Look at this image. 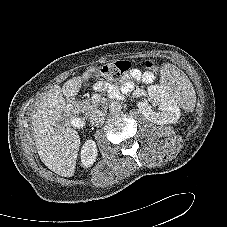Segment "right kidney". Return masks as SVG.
<instances>
[{
    "label": "right kidney",
    "instance_id": "1",
    "mask_svg": "<svg viewBox=\"0 0 227 227\" xmlns=\"http://www.w3.org/2000/svg\"><path fill=\"white\" fill-rule=\"evenodd\" d=\"M98 155L95 141L89 139L86 140L81 150L82 165L86 168L91 167L95 162Z\"/></svg>",
    "mask_w": 227,
    "mask_h": 227
}]
</instances>
